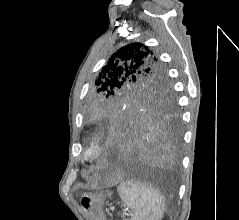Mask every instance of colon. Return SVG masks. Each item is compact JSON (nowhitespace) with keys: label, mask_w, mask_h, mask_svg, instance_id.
Wrapping results in <instances>:
<instances>
[{"label":"colon","mask_w":239,"mask_h":220,"mask_svg":"<svg viewBox=\"0 0 239 220\" xmlns=\"http://www.w3.org/2000/svg\"><path fill=\"white\" fill-rule=\"evenodd\" d=\"M110 89H103L102 93H104L105 95H110Z\"/></svg>","instance_id":"obj_1"}]
</instances>
